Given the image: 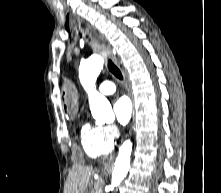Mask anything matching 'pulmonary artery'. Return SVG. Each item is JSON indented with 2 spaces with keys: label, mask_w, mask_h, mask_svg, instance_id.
Masks as SVG:
<instances>
[{
  "label": "pulmonary artery",
  "mask_w": 221,
  "mask_h": 193,
  "mask_svg": "<svg viewBox=\"0 0 221 193\" xmlns=\"http://www.w3.org/2000/svg\"><path fill=\"white\" fill-rule=\"evenodd\" d=\"M99 92L104 95L113 94L116 90L115 84L111 81H104L99 85Z\"/></svg>",
  "instance_id": "1"
}]
</instances>
